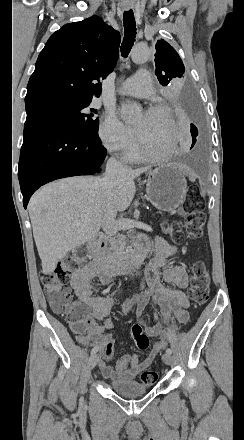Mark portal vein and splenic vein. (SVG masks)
Listing matches in <instances>:
<instances>
[{
  "label": "portal vein and splenic vein",
  "instance_id": "1",
  "mask_svg": "<svg viewBox=\"0 0 244 440\" xmlns=\"http://www.w3.org/2000/svg\"><path fill=\"white\" fill-rule=\"evenodd\" d=\"M74 224H75V226H79L80 220H78V218H76V220H74Z\"/></svg>",
  "mask_w": 244,
  "mask_h": 440
}]
</instances>
